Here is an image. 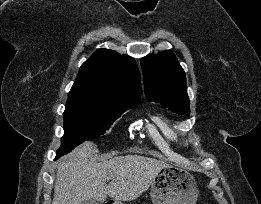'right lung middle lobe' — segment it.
Returning <instances> with one entry per match:
<instances>
[{"label": "right lung middle lobe", "mask_w": 261, "mask_h": 204, "mask_svg": "<svg viewBox=\"0 0 261 204\" xmlns=\"http://www.w3.org/2000/svg\"><path fill=\"white\" fill-rule=\"evenodd\" d=\"M130 104H103L89 97L68 98L64 111V131L59 156L70 152L82 142L98 138L128 109Z\"/></svg>", "instance_id": "obj_1"}]
</instances>
